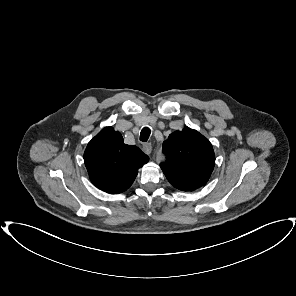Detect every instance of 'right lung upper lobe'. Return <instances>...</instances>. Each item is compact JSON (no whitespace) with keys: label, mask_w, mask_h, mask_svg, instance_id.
I'll list each match as a JSON object with an SVG mask.
<instances>
[{"label":"right lung upper lobe","mask_w":296,"mask_h":296,"mask_svg":"<svg viewBox=\"0 0 296 296\" xmlns=\"http://www.w3.org/2000/svg\"><path fill=\"white\" fill-rule=\"evenodd\" d=\"M84 161L90 180L97 188L118 194L132 185L138 169L149 157L138 147L124 144L118 131L106 127L88 143Z\"/></svg>","instance_id":"1"}]
</instances>
